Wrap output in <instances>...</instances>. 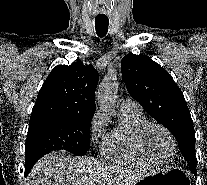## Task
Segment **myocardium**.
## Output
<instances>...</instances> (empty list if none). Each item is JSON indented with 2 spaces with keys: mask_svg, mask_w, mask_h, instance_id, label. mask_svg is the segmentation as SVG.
<instances>
[{
  "mask_svg": "<svg viewBox=\"0 0 207 185\" xmlns=\"http://www.w3.org/2000/svg\"><path fill=\"white\" fill-rule=\"evenodd\" d=\"M153 128H158V129L162 130L164 133H166V135L172 141L173 146H174V152H173L172 157L169 160H162V159L158 158L151 151V149L149 148L147 139H148V134H149L150 130L153 129ZM138 140H139V144H140L141 149L143 150V152L150 159H152L153 161H155L159 164H168V163L172 162L175 159L176 154L178 152V145H177V142H176V139H175L173 133L165 125H163L161 123H158V122H147V123H145L139 131Z\"/></svg>",
  "mask_w": 207,
  "mask_h": 185,
  "instance_id": "1",
  "label": "myocardium"
}]
</instances>
